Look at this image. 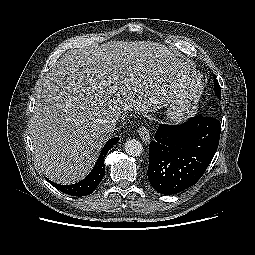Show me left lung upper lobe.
<instances>
[{"label":"left lung upper lobe","mask_w":255,"mask_h":255,"mask_svg":"<svg viewBox=\"0 0 255 255\" xmlns=\"http://www.w3.org/2000/svg\"><path fill=\"white\" fill-rule=\"evenodd\" d=\"M215 79V78H214ZM214 91H215V94L217 95V97L219 98V99H221V88H220V86H219V83H218V81L215 79V81H214Z\"/></svg>","instance_id":"1"}]
</instances>
